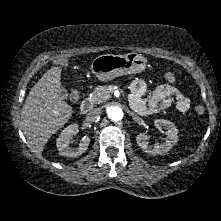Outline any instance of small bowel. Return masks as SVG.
Masks as SVG:
<instances>
[{
	"instance_id": "1",
	"label": "small bowel",
	"mask_w": 221,
	"mask_h": 221,
	"mask_svg": "<svg viewBox=\"0 0 221 221\" xmlns=\"http://www.w3.org/2000/svg\"><path fill=\"white\" fill-rule=\"evenodd\" d=\"M147 89L148 86L143 80H135L131 83L130 105L139 114L158 113L172 104L180 112H186L190 108V99L173 85H160L145 101L143 96Z\"/></svg>"
}]
</instances>
